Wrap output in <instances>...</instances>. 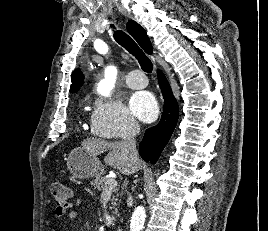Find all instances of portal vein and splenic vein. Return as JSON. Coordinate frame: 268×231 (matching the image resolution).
I'll return each mask as SVG.
<instances>
[{
	"mask_svg": "<svg viewBox=\"0 0 268 231\" xmlns=\"http://www.w3.org/2000/svg\"><path fill=\"white\" fill-rule=\"evenodd\" d=\"M117 186V181L114 178L107 179L105 183V188L103 191L111 192Z\"/></svg>",
	"mask_w": 268,
	"mask_h": 231,
	"instance_id": "portal-vein-and-splenic-vein-1",
	"label": "portal vein and splenic vein"
}]
</instances>
